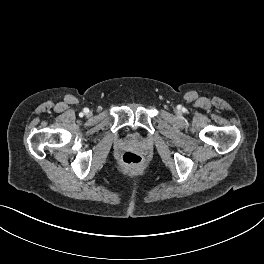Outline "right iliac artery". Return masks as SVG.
Wrapping results in <instances>:
<instances>
[{"instance_id":"obj_1","label":"right iliac artery","mask_w":264,"mask_h":264,"mask_svg":"<svg viewBox=\"0 0 264 264\" xmlns=\"http://www.w3.org/2000/svg\"><path fill=\"white\" fill-rule=\"evenodd\" d=\"M84 112H85V113H87V112H88V109H87V108H85V109H84Z\"/></svg>"}]
</instances>
